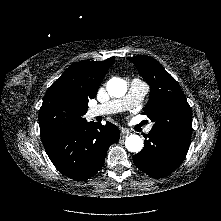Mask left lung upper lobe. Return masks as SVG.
<instances>
[{"label": "left lung upper lobe", "instance_id": "5c2ea615", "mask_svg": "<svg viewBox=\"0 0 221 221\" xmlns=\"http://www.w3.org/2000/svg\"><path fill=\"white\" fill-rule=\"evenodd\" d=\"M128 59L150 85L151 94L144 114L154 122L152 130L190 137L191 109L177 81L150 56L140 55Z\"/></svg>", "mask_w": 221, "mask_h": 221}]
</instances>
